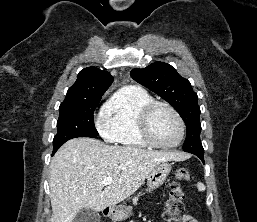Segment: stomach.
Wrapping results in <instances>:
<instances>
[{"label": "stomach", "mask_w": 257, "mask_h": 222, "mask_svg": "<svg viewBox=\"0 0 257 222\" xmlns=\"http://www.w3.org/2000/svg\"><path fill=\"white\" fill-rule=\"evenodd\" d=\"M171 171V165L167 162L157 164L149 173L147 177V186L149 191L160 187ZM131 208L125 207H112L109 212V217L114 221L126 219L129 216Z\"/></svg>", "instance_id": "stomach-1"}]
</instances>
